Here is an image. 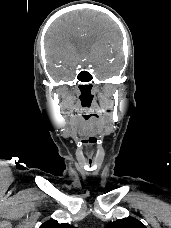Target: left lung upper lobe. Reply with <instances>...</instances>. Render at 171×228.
<instances>
[{"label":"left lung upper lobe","instance_id":"1","mask_svg":"<svg viewBox=\"0 0 171 228\" xmlns=\"http://www.w3.org/2000/svg\"><path fill=\"white\" fill-rule=\"evenodd\" d=\"M105 228H146L135 218H125L109 223Z\"/></svg>","mask_w":171,"mask_h":228}]
</instances>
